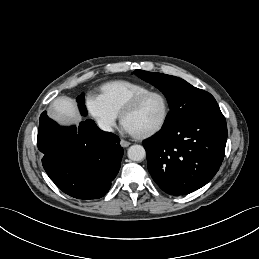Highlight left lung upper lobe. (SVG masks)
Returning a JSON list of instances; mask_svg holds the SVG:
<instances>
[{
	"label": "left lung upper lobe",
	"instance_id": "obj_1",
	"mask_svg": "<svg viewBox=\"0 0 259 259\" xmlns=\"http://www.w3.org/2000/svg\"><path fill=\"white\" fill-rule=\"evenodd\" d=\"M134 74L153 84L166 96L171 111L163 129L221 113L216 100L210 93L192 86L181 78L138 69L134 71Z\"/></svg>",
	"mask_w": 259,
	"mask_h": 259
}]
</instances>
